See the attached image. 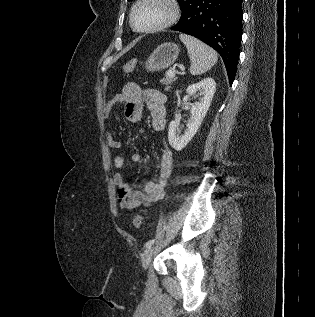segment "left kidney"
<instances>
[{
  "label": "left kidney",
  "instance_id": "obj_1",
  "mask_svg": "<svg viewBox=\"0 0 315 317\" xmlns=\"http://www.w3.org/2000/svg\"><path fill=\"white\" fill-rule=\"evenodd\" d=\"M215 90L216 82L211 77L187 87V95L183 98L184 104L187 103L190 96L195 95L197 92L201 98L191 106V117L187 122V129L184 134H180L177 121H172L169 124L168 141L172 148L177 151L182 150L196 134L210 107Z\"/></svg>",
  "mask_w": 315,
  "mask_h": 317
}]
</instances>
